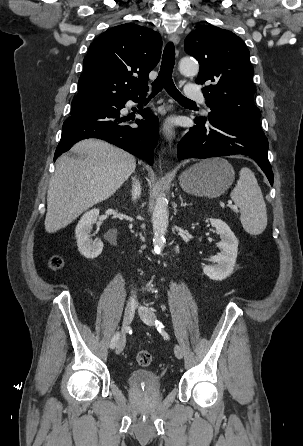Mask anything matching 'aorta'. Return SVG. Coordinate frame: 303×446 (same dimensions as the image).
Instances as JSON below:
<instances>
[{
	"label": "aorta",
	"mask_w": 303,
	"mask_h": 446,
	"mask_svg": "<svg viewBox=\"0 0 303 446\" xmlns=\"http://www.w3.org/2000/svg\"><path fill=\"white\" fill-rule=\"evenodd\" d=\"M180 72L184 75H196L199 71L198 64L190 59H182L179 63ZM168 201L164 194L158 196L152 215L153 245L156 252L160 253L165 246V235L168 226Z\"/></svg>",
	"instance_id": "aorta-1"
}]
</instances>
